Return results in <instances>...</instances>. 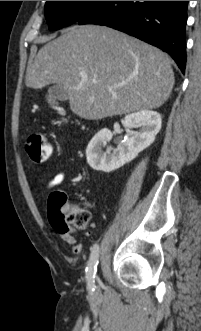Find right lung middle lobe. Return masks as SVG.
<instances>
[{"label": "right lung middle lobe", "mask_w": 201, "mask_h": 331, "mask_svg": "<svg viewBox=\"0 0 201 331\" xmlns=\"http://www.w3.org/2000/svg\"><path fill=\"white\" fill-rule=\"evenodd\" d=\"M104 1H47L45 17L50 30L78 22L88 12Z\"/></svg>", "instance_id": "dd1d6c3e"}]
</instances>
